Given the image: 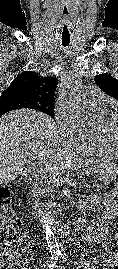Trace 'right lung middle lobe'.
<instances>
[{"label":"right lung middle lobe","instance_id":"dd1d6c3e","mask_svg":"<svg viewBox=\"0 0 118 269\" xmlns=\"http://www.w3.org/2000/svg\"><path fill=\"white\" fill-rule=\"evenodd\" d=\"M19 108H30L46 113L47 115L54 118V105L40 104L29 97L21 94H7L1 95L0 98V116L3 114L19 109Z\"/></svg>","mask_w":118,"mask_h":269}]
</instances>
